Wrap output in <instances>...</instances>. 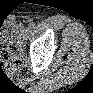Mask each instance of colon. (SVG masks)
Listing matches in <instances>:
<instances>
[{
	"mask_svg": "<svg viewBox=\"0 0 93 93\" xmlns=\"http://www.w3.org/2000/svg\"><path fill=\"white\" fill-rule=\"evenodd\" d=\"M2 67H16L20 59L14 54L13 46L16 35L4 24H1Z\"/></svg>",
	"mask_w": 93,
	"mask_h": 93,
	"instance_id": "colon-1",
	"label": "colon"
}]
</instances>
